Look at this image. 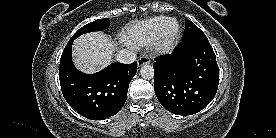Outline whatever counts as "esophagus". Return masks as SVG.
Segmentation results:
<instances>
[{
    "mask_svg": "<svg viewBox=\"0 0 276 138\" xmlns=\"http://www.w3.org/2000/svg\"><path fill=\"white\" fill-rule=\"evenodd\" d=\"M150 61H151V60H150V57H149V56L143 55V56H141V57L138 59L137 63H138V66L140 67V66H142V65L149 64Z\"/></svg>",
    "mask_w": 276,
    "mask_h": 138,
    "instance_id": "34e87169",
    "label": "esophagus"
}]
</instances>
